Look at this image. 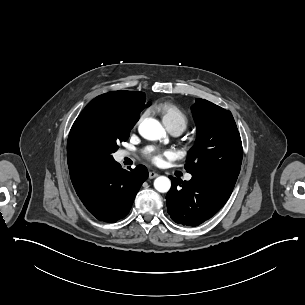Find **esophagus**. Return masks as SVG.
I'll use <instances>...</instances> for the list:
<instances>
[{
    "instance_id": "34e87169",
    "label": "esophagus",
    "mask_w": 305,
    "mask_h": 305,
    "mask_svg": "<svg viewBox=\"0 0 305 305\" xmlns=\"http://www.w3.org/2000/svg\"><path fill=\"white\" fill-rule=\"evenodd\" d=\"M157 176H158L157 173H155V172H153V171L149 172V179H153V178H155V177H157Z\"/></svg>"
}]
</instances>
